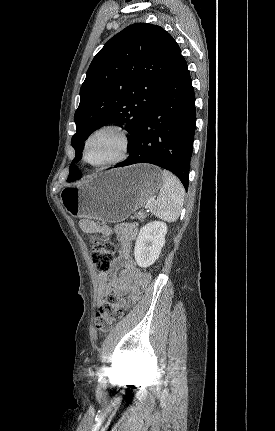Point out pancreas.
I'll use <instances>...</instances> for the list:
<instances>
[{"label":"pancreas","mask_w":275,"mask_h":431,"mask_svg":"<svg viewBox=\"0 0 275 431\" xmlns=\"http://www.w3.org/2000/svg\"><path fill=\"white\" fill-rule=\"evenodd\" d=\"M145 217H146V214H145V213L137 214V215H136V218H137V219H139L140 221H143V220L145 219Z\"/></svg>","instance_id":"cf45deb5"}]
</instances>
